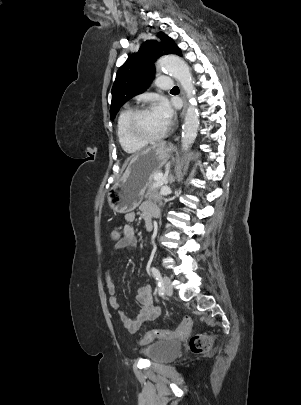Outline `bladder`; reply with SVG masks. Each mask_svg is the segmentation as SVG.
<instances>
[{
	"instance_id": "obj_1",
	"label": "bladder",
	"mask_w": 301,
	"mask_h": 405,
	"mask_svg": "<svg viewBox=\"0 0 301 405\" xmlns=\"http://www.w3.org/2000/svg\"><path fill=\"white\" fill-rule=\"evenodd\" d=\"M181 344L174 340H157L142 348V353L152 362L166 363L175 359Z\"/></svg>"
}]
</instances>
